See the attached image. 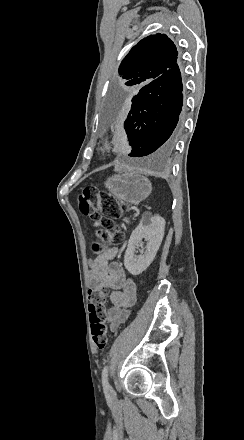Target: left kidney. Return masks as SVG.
<instances>
[{
  "mask_svg": "<svg viewBox=\"0 0 244 440\" xmlns=\"http://www.w3.org/2000/svg\"><path fill=\"white\" fill-rule=\"evenodd\" d=\"M164 228V218L152 216L148 220H141L139 226L133 230L124 256V266L132 276H139L152 264L163 240ZM142 238L148 240L145 248L140 244ZM135 248H143L139 250L140 256H135Z\"/></svg>",
  "mask_w": 244,
  "mask_h": 440,
  "instance_id": "left-kidney-1",
  "label": "left kidney"
}]
</instances>
